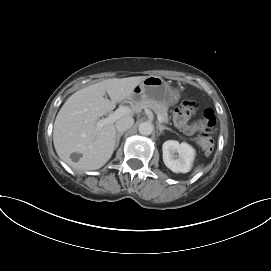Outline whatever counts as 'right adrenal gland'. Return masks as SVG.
I'll return each instance as SVG.
<instances>
[{
  "instance_id": "right-adrenal-gland-1",
  "label": "right adrenal gland",
  "mask_w": 271,
  "mask_h": 271,
  "mask_svg": "<svg viewBox=\"0 0 271 271\" xmlns=\"http://www.w3.org/2000/svg\"><path fill=\"white\" fill-rule=\"evenodd\" d=\"M122 135H123V133H118V134H117L115 148H117V147H118V145H119V141H120V138H121V136H122Z\"/></svg>"
}]
</instances>
